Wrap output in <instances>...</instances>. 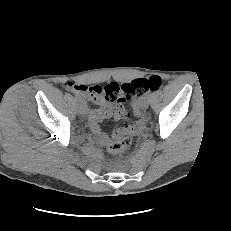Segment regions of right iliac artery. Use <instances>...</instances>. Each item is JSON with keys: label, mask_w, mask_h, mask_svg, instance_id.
<instances>
[{"label": "right iliac artery", "mask_w": 231, "mask_h": 231, "mask_svg": "<svg viewBox=\"0 0 231 231\" xmlns=\"http://www.w3.org/2000/svg\"><path fill=\"white\" fill-rule=\"evenodd\" d=\"M75 99H76L78 102L82 101L81 97L78 96V95H75Z\"/></svg>", "instance_id": "1"}]
</instances>
